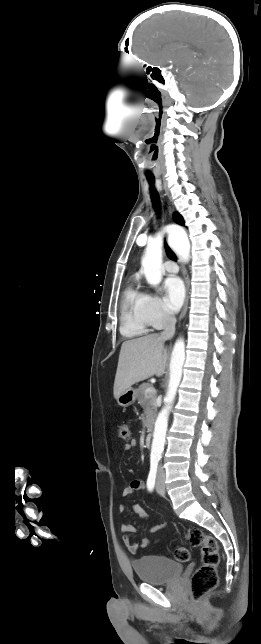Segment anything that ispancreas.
Listing matches in <instances>:
<instances>
[{
    "label": "pancreas",
    "mask_w": 261,
    "mask_h": 644,
    "mask_svg": "<svg viewBox=\"0 0 261 644\" xmlns=\"http://www.w3.org/2000/svg\"><path fill=\"white\" fill-rule=\"evenodd\" d=\"M149 387H152V385L149 383H143L137 389L138 403L144 409V413L146 415V426L148 431H150L153 427L154 419L156 416V410H157L156 392L145 395V390Z\"/></svg>",
    "instance_id": "1"
}]
</instances>
